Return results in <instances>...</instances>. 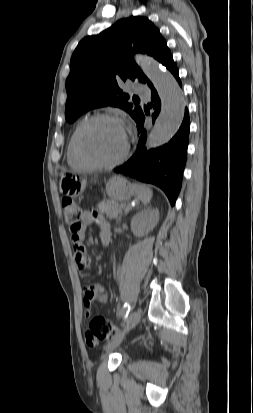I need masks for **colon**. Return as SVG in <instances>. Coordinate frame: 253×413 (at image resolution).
Wrapping results in <instances>:
<instances>
[{
  "label": "colon",
  "mask_w": 253,
  "mask_h": 413,
  "mask_svg": "<svg viewBox=\"0 0 253 413\" xmlns=\"http://www.w3.org/2000/svg\"><path fill=\"white\" fill-rule=\"evenodd\" d=\"M62 207L65 222L71 228H77L80 223L81 210L78 204L69 197L62 199ZM119 335V329L103 316H95L90 320L86 332V339L90 342L98 340H109Z\"/></svg>",
  "instance_id": "colon-1"
}]
</instances>
